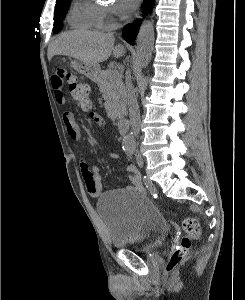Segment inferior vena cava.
Segmentation results:
<instances>
[{
  "instance_id": "inferior-vena-cava-1",
  "label": "inferior vena cava",
  "mask_w": 245,
  "mask_h": 300,
  "mask_svg": "<svg viewBox=\"0 0 245 300\" xmlns=\"http://www.w3.org/2000/svg\"><path fill=\"white\" fill-rule=\"evenodd\" d=\"M126 80V94L128 100V109H129V117L130 123L133 129L135 136L137 137L140 132V111L139 105L137 102V97L135 91L133 89V85L131 82L130 71L127 70L125 74Z\"/></svg>"
}]
</instances>
